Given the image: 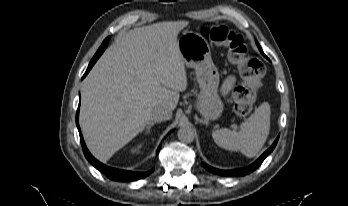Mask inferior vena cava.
<instances>
[{
  "label": "inferior vena cava",
  "instance_id": "obj_1",
  "mask_svg": "<svg viewBox=\"0 0 348 206\" xmlns=\"http://www.w3.org/2000/svg\"><path fill=\"white\" fill-rule=\"evenodd\" d=\"M172 116V111L164 107H156L153 109L151 114V119L154 121H166L169 120Z\"/></svg>",
  "mask_w": 348,
  "mask_h": 206
}]
</instances>
